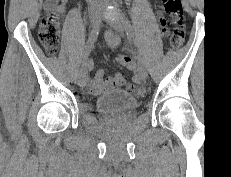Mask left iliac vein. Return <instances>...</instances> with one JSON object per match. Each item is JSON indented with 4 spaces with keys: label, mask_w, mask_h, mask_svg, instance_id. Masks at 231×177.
I'll return each instance as SVG.
<instances>
[{
    "label": "left iliac vein",
    "mask_w": 231,
    "mask_h": 177,
    "mask_svg": "<svg viewBox=\"0 0 231 177\" xmlns=\"http://www.w3.org/2000/svg\"><path fill=\"white\" fill-rule=\"evenodd\" d=\"M108 23L112 28H114L120 34H122L123 36H126L127 27H126V24H125L123 17H119L118 19L109 21ZM138 72H139V76L141 79L144 80L147 78L148 73H147L145 65L142 62L139 65Z\"/></svg>",
    "instance_id": "obj_1"
}]
</instances>
